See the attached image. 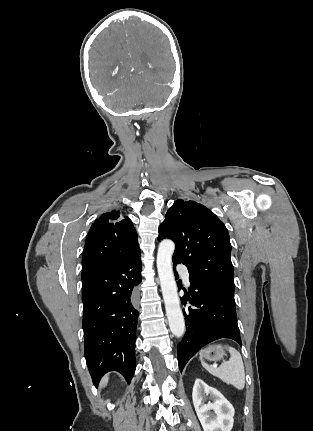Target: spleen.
Returning a JSON list of instances; mask_svg holds the SVG:
<instances>
[{
	"instance_id": "3e777b00",
	"label": "spleen",
	"mask_w": 313,
	"mask_h": 431,
	"mask_svg": "<svg viewBox=\"0 0 313 431\" xmlns=\"http://www.w3.org/2000/svg\"><path fill=\"white\" fill-rule=\"evenodd\" d=\"M230 353V359L223 362L219 368H215L206 364L203 361V356L210 351L212 347H208L200 354L202 366L213 376L220 378L222 381L232 384L237 389L241 390L245 386V371L244 364L240 353L233 347L226 346Z\"/></svg>"
}]
</instances>
